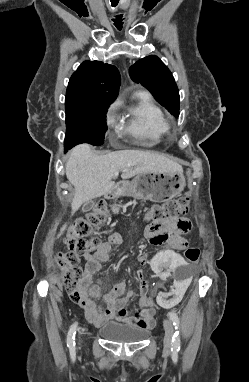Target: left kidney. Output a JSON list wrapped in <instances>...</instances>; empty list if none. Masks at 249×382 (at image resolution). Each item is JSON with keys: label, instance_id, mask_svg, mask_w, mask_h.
I'll list each match as a JSON object with an SVG mask.
<instances>
[{"label": "left kidney", "instance_id": "1", "mask_svg": "<svg viewBox=\"0 0 249 382\" xmlns=\"http://www.w3.org/2000/svg\"><path fill=\"white\" fill-rule=\"evenodd\" d=\"M151 266V271L157 273L165 281L166 291H157L154 297L156 307L173 309L176 304L183 301L185 293L188 292L192 277H195V270H182L187 266L184 258L173 250H161L148 263L141 261L142 267Z\"/></svg>", "mask_w": 249, "mask_h": 382}]
</instances>
